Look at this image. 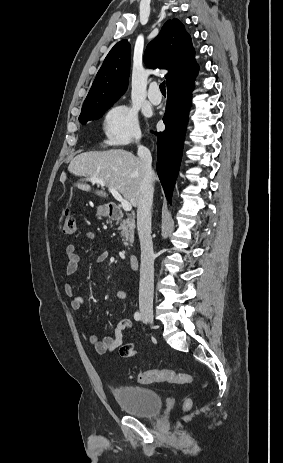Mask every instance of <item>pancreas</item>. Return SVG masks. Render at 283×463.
Instances as JSON below:
<instances>
[{"mask_svg": "<svg viewBox=\"0 0 283 463\" xmlns=\"http://www.w3.org/2000/svg\"><path fill=\"white\" fill-rule=\"evenodd\" d=\"M122 241L125 246H128L129 243L134 241V231H135V220L133 218H128L123 220L118 227Z\"/></svg>", "mask_w": 283, "mask_h": 463, "instance_id": "1", "label": "pancreas"}]
</instances>
